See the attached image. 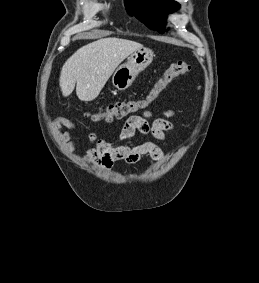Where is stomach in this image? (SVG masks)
I'll return each mask as SVG.
<instances>
[{
	"label": "stomach",
	"instance_id": "stomach-1",
	"mask_svg": "<svg viewBox=\"0 0 259 283\" xmlns=\"http://www.w3.org/2000/svg\"><path fill=\"white\" fill-rule=\"evenodd\" d=\"M153 56V52L148 48H140L132 52L127 62L120 65L113 73V85L119 90L127 89L136 76L152 62Z\"/></svg>",
	"mask_w": 259,
	"mask_h": 283
}]
</instances>
